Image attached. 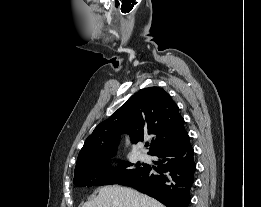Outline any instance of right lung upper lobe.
<instances>
[{
	"mask_svg": "<svg viewBox=\"0 0 261 207\" xmlns=\"http://www.w3.org/2000/svg\"><path fill=\"white\" fill-rule=\"evenodd\" d=\"M122 133H127L131 142L152 136L150 155L180 144L188 137L184 119L171 96L159 87L145 88L97 125L86 139L75 168L96 159L114 156Z\"/></svg>",
	"mask_w": 261,
	"mask_h": 207,
	"instance_id": "1",
	"label": "right lung upper lobe"
}]
</instances>
